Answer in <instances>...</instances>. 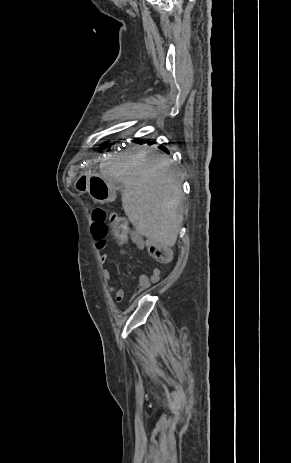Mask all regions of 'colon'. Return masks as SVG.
<instances>
[{"label": "colon", "mask_w": 291, "mask_h": 463, "mask_svg": "<svg viewBox=\"0 0 291 463\" xmlns=\"http://www.w3.org/2000/svg\"><path fill=\"white\" fill-rule=\"evenodd\" d=\"M92 220L91 235L96 242L98 249L106 247V238L113 234L118 240H127L132 236V230L128 222L118 215L109 214L104 208L96 206L90 210ZM150 255L161 264H168L172 261V251L163 245L152 242H145Z\"/></svg>", "instance_id": "1"}]
</instances>
